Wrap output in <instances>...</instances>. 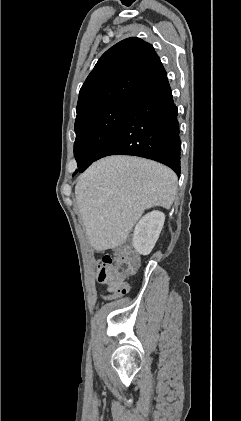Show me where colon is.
<instances>
[{
    "instance_id": "colon-1",
    "label": "colon",
    "mask_w": 241,
    "mask_h": 421,
    "mask_svg": "<svg viewBox=\"0 0 241 421\" xmlns=\"http://www.w3.org/2000/svg\"><path fill=\"white\" fill-rule=\"evenodd\" d=\"M138 262V256L132 249L118 248L102 258L98 280L126 291L125 280L135 272Z\"/></svg>"
}]
</instances>
